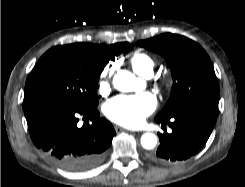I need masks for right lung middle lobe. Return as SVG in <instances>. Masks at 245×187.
<instances>
[{
  "instance_id": "dd1d6c3e",
  "label": "right lung middle lobe",
  "mask_w": 245,
  "mask_h": 187,
  "mask_svg": "<svg viewBox=\"0 0 245 187\" xmlns=\"http://www.w3.org/2000/svg\"><path fill=\"white\" fill-rule=\"evenodd\" d=\"M128 45L76 43L51 48L39 59L26 81L24 111L53 103L96 109L100 74L109 60Z\"/></svg>"
}]
</instances>
